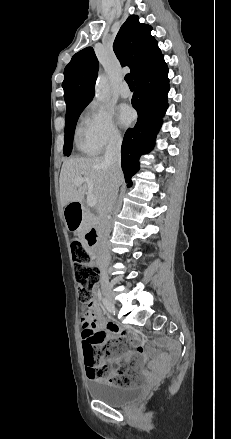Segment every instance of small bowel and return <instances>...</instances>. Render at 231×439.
I'll use <instances>...</instances> for the list:
<instances>
[{"label":"small bowel","mask_w":231,"mask_h":439,"mask_svg":"<svg viewBox=\"0 0 231 439\" xmlns=\"http://www.w3.org/2000/svg\"><path fill=\"white\" fill-rule=\"evenodd\" d=\"M80 326L82 328L81 343L83 350L86 345L99 346L105 339H113L115 337H130L133 342L139 341L137 337L131 335L129 329L119 327L112 323H106L103 320V311L96 301L92 303L89 311L81 317ZM105 327H107V330H105ZM144 358V347L137 345L134 353L127 354L124 357H118L110 362L112 365L110 375L116 372V368L119 366L121 360L132 364L135 369L140 370ZM103 362L104 361H102V363ZM142 373L149 375L147 370H142ZM137 378L140 380V377Z\"/></svg>","instance_id":"1"}]
</instances>
